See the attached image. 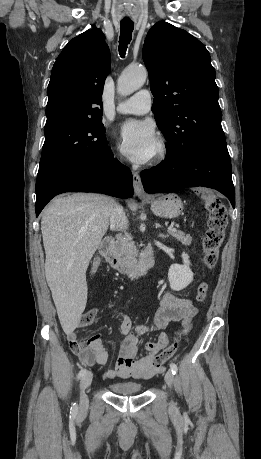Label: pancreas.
<instances>
[{
	"instance_id": "1",
	"label": "pancreas",
	"mask_w": 261,
	"mask_h": 459,
	"mask_svg": "<svg viewBox=\"0 0 261 459\" xmlns=\"http://www.w3.org/2000/svg\"><path fill=\"white\" fill-rule=\"evenodd\" d=\"M168 233L180 241L183 245H190L192 237L181 231H170ZM115 255L119 259L120 267L124 268L131 264L136 254V247L130 234L118 236L115 243Z\"/></svg>"
}]
</instances>
